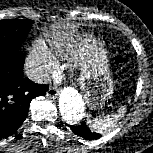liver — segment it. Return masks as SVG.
Segmentation results:
<instances>
[{"mask_svg":"<svg viewBox=\"0 0 153 153\" xmlns=\"http://www.w3.org/2000/svg\"><path fill=\"white\" fill-rule=\"evenodd\" d=\"M56 35L62 41L61 45L66 47L65 59L69 62H74V64L80 63L82 50L76 39L77 26L67 23L65 26L56 27Z\"/></svg>","mask_w":153,"mask_h":153,"instance_id":"6515ba94","label":"liver"}]
</instances>
